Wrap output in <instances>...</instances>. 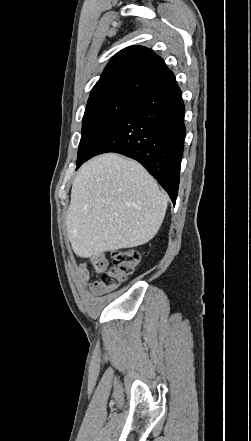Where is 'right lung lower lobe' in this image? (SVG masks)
I'll use <instances>...</instances> for the list:
<instances>
[{"label":"right lung lower lobe","mask_w":251,"mask_h":441,"mask_svg":"<svg viewBox=\"0 0 251 441\" xmlns=\"http://www.w3.org/2000/svg\"><path fill=\"white\" fill-rule=\"evenodd\" d=\"M184 114L182 93L173 75L140 97L85 161L106 152L133 158L158 180L175 204L186 135Z\"/></svg>","instance_id":"obj_1"}]
</instances>
